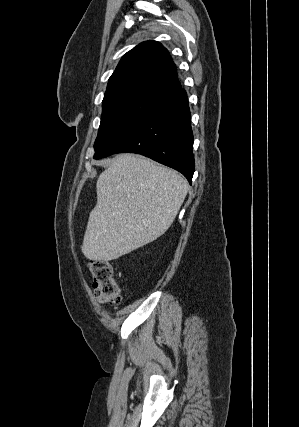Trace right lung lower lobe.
<instances>
[{"instance_id":"right-lung-lower-lobe-1","label":"right lung lower lobe","mask_w":299,"mask_h":427,"mask_svg":"<svg viewBox=\"0 0 299 427\" xmlns=\"http://www.w3.org/2000/svg\"><path fill=\"white\" fill-rule=\"evenodd\" d=\"M186 91L179 89L151 107L95 159L134 152L181 172L191 183L195 162Z\"/></svg>"}]
</instances>
